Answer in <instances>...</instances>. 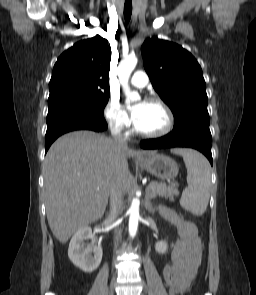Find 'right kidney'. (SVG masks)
<instances>
[{
  "instance_id": "ca27d5eb",
  "label": "right kidney",
  "mask_w": 256,
  "mask_h": 295,
  "mask_svg": "<svg viewBox=\"0 0 256 295\" xmlns=\"http://www.w3.org/2000/svg\"><path fill=\"white\" fill-rule=\"evenodd\" d=\"M91 237V227H82L73 235L68 248L69 259L76 267L86 273H92L98 268L103 255L101 246L94 249L86 246L85 240Z\"/></svg>"
}]
</instances>
